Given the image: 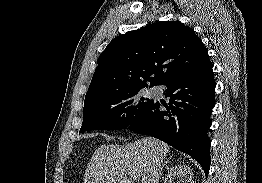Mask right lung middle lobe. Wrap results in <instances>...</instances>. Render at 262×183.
<instances>
[{"instance_id":"1","label":"right lung middle lobe","mask_w":262,"mask_h":183,"mask_svg":"<svg viewBox=\"0 0 262 183\" xmlns=\"http://www.w3.org/2000/svg\"><path fill=\"white\" fill-rule=\"evenodd\" d=\"M143 88H132L84 102L80 132L127 128L153 101L142 94Z\"/></svg>"}]
</instances>
